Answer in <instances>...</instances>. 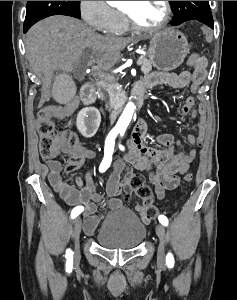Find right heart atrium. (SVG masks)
<instances>
[{"label":"right heart atrium","instance_id":"d8ad5b80","mask_svg":"<svg viewBox=\"0 0 237 300\" xmlns=\"http://www.w3.org/2000/svg\"><path fill=\"white\" fill-rule=\"evenodd\" d=\"M84 22L100 32L113 33L118 28V12L106 1H80Z\"/></svg>","mask_w":237,"mask_h":300}]
</instances>
